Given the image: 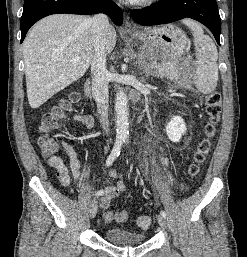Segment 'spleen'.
<instances>
[{"label": "spleen", "mask_w": 247, "mask_h": 257, "mask_svg": "<svg viewBox=\"0 0 247 257\" xmlns=\"http://www.w3.org/2000/svg\"><path fill=\"white\" fill-rule=\"evenodd\" d=\"M182 22L193 32L197 59L195 85L201 93H211L215 90L218 81L217 48L212 39L204 35L198 23L190 19H184Z\"/></svg>", "instance_id": "spleen-1"}]
</instances>
